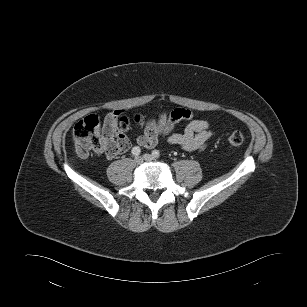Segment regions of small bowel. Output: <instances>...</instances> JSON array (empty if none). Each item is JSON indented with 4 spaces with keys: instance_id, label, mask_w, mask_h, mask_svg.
<instances>
[{
    "instance_id": "c3829d8e",
    "label": "small bowel",
    "mask_w": 307,
    "mask_h": 307,
    "mask_svg": "<svg viewBox=\"0 0 307 307\" xmlns=\"http://www.w3.org/2000/svg\"><path fill=\"white\" fill-rule=\"evenodd\" d=\"M121 113L122 111H115L106 117L104 132L108 150L103 152L109 159L127 152L131 147L129 138L112 119V116L121 115ZM181 121H187V125L182 133H177L174 130ZM212 136L213 132L208 121L194 119L192 112L188 109L176 108L149 119L143 133L136 138V143L146 148H153L162 137H165L170 144L186 151H201Z\"/></svg>"
}]
</instances>
